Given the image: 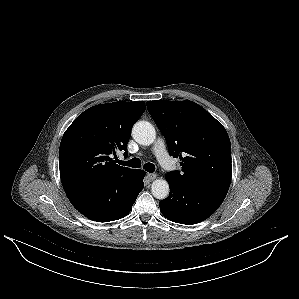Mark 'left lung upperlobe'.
I'll return each instance as SVG.
<instances>
[{
  "instance_id": "left-lung-upper-lobe-1",
  "label": "left lung upper lobe",
  "mask_w": 299,
  "mask_h": 299,
  "mask_svg": "<svg viewBox=\"0 0 299 299\" xmlns=\"http://www.w3.org/2000/svg\"><path fill=\"white\" fill-rule=\"evenodd\" d=\"M147 109L164 135L170 155L182 160L181 172L167 175L179 182L230 186V139L213 116L192 101H149Z\"/></svg>"
}]
</instances>
